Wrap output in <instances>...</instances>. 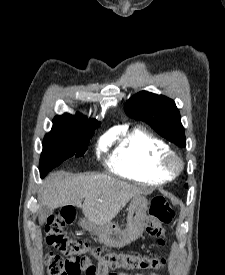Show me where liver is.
I'll list each match as a JSON object with an SVG mask.
<instances>
[{
  "label": "liver",
  "instance_id": "obj_1",
  "mask_svg": "<svg viewBox=\"0 0 225 275\" xmlns=\"http://www.w3.org/2000/svg\"><path fill=\"white\" fill-rule=\"evenodd\" d=\"M144 193L141 188L106 174L73 175L57 171L45 179L39 199L42 206L51 209L66 205L80 207L89 222L103 226L132 198Z\"/></svg>",
  "mask_w": 225,
  "mask_h": 275
}]
</instances>
